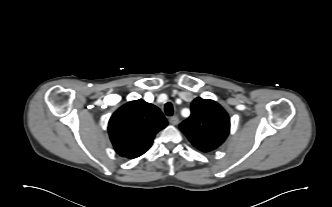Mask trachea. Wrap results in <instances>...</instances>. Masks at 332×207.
<instances>
[{
    "label": "trachea",
    "instance_id": "1",
    "mask_svg": "<svg viewBox=\"0 0 332 207\" xmlns=\"http://www.w3.org/2000/svg\"><path fill=\"white\" fill-rule=\"evenodd\" d=\"M165 113L167 116L173 115V105L170 102H167L165 104Z\"/></svg>",
    "mask_w": 332,
    "mask_h": 207
}]
</instances>
